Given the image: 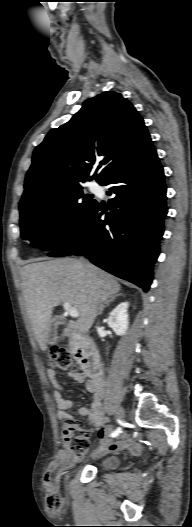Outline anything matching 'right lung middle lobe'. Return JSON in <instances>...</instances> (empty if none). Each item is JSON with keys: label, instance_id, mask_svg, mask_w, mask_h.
<instances>
[{"label": "right lung middle lobe", "instance_id": "1", "mask_svg": "<svg viewBox=\"0 0 192 527\" xmlns=\"http://www.w3.org/2000/svg\"><path fill=\"white\" fill-rule=\"evenodd\" d=\"M96 203L80 186L47 201L19 206L21 237L31 246L53 250L83 226Z\"/></svg>", "mask_w": 192, "mask_h": 527}]
</instances>
